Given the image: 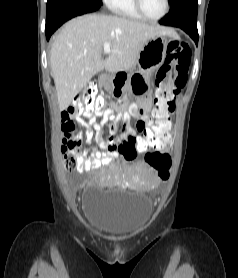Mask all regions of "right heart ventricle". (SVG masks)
<instances>
[{"mask_svg": "<svg viewBox=\"0 0 238 278\" xmlns=\"http://www.w3.org/2000/svg\"><path fill=\"white\" fill-rule=\"evenodd\" d=\"M108 7L116 15L134 20L143 19L136 10L133 0H113Z\"/></svg>", "mask_w": 238, "mask_h": 278, "instance_id": "e07e8e85", "label": "right heart ventricle"}]
</instances>
